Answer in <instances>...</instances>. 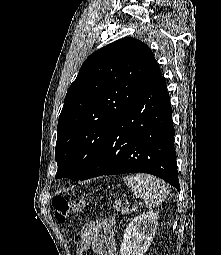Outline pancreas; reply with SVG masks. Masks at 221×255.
Masks as SVG:
<instances>
[{
    "mask_svg": "<svg viewBox=\"0 0 221 255\" xmlns=\"http://www.w3.org/2000/svg\"><path fill=\"white\" fill-rule=\"evenodd\" d=\"M113 206L114 208H116L117 211H120L122 214H129L131 212L129 206L123 205L120 201H116Z\"/></svg>",
    "mask_w": 221,
    "mask_h": 255,
    "instance_id": "cf45deb5",
    "label": "pancreas"
}]
</instances>
